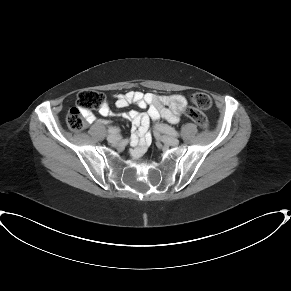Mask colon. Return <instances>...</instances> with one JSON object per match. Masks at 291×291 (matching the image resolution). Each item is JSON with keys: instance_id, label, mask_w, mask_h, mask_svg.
I'll return each instance as SVG.
<instances>
[{"instance_id": "obj_1", "label": "colon", "mask_w": 291, "mask_h": 291, "mask_svg": "<svg viewBox=\"0 0 291 291\" xmlns=\"http://www.w3.org/2000/svg\"><path fill=\"white\" fill-rule=\"evenodd\" d=\"M104 96L98 90L85 89L78 93L76 107L68 111L66 115V123L70 130L81 131L85 127V118L82 114L83 110L95 109L101 106ZM193 103L203 110H208L212 106L210 96L204 92H196L192 96ZM186 114L194 120V122L201 128L208 127V120L206 116L199 110L189 108Z\"/></svg>"}]
</instances>
